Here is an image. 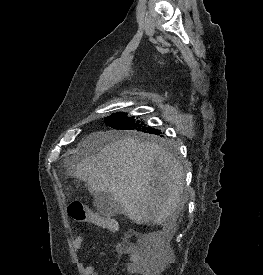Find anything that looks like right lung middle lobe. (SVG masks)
<instances>
[{"mask_svg":"<svg viewBox=\"0 0 263 275\" xmlns=\"http://www.w3.org/2000/svg\"><path fill=\"white\" fill-rule=\"evenodd\" d=\"M105 123L118 130H130L138 135L139 139L147 141L168 142L158 129L147 126L143 122L136 121L133 117H128L126 113H114L106 117Z\"/></svg>","mask_w":263,"mask_h":275,"instance_id":"right-lung-middle-lobe-1","label":"right lung middle lobe"}]
</instances>
